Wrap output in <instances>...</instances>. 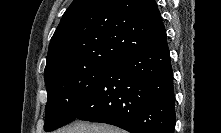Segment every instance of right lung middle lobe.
<instances>
[{"label":"right lung middle lobe","mask_w":221,"mask_h":133,"mask_svg":"<svg viewBox=\"0 0 221 133\" xmlns=\"http://www.w3.org/2000/svg\"><path fill=\"white\" fill-rule=\"evenodd\" d=\"M110 64L69 66L45 76L48 101L44 130L73 121L109 69Z\"/></svg>","instance_id":"1"}]
</instances>
